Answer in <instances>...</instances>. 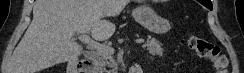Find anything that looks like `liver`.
<instances>
[{
    "label": "liver",
    "mask_w": 244,
    "mask_h": 73,
    "mask_svg": "<svg viewBox=\"0 0 244 73\" xmlns=\"http://www.w3.org/2000/svg\"><path fill=\"white\" fill-rule=\"evenodd\" d=\"M129 0H36L33 20L15 48L7 73H38L75 60L82 47L71 40L75 33L109 39L115 24L102 20L119 15Z\"/></svg>",
    "instance_id": "obj_1"
}]
</instances>
